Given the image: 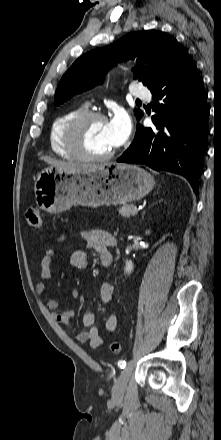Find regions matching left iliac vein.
Here are the masks:
<instances>
[{
  "instance_id": "1",
  "label": "left iliac vein",
  "mask_w": 221,
  "mask_h": 440,
  "mask_svg": "<svg viewBox=\"0 0 221 440\" xmlns=\"http://www.w3.org/2000/svg\"><path fill=\"white\" fill-rule=\"evenodd\" d=\"M132 372V366L128 364L122 371L112 388V397L116 400L122 399L126 390L127 382Z\"/></svg>"
}]
</instances>
